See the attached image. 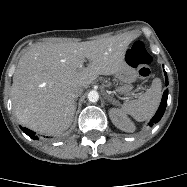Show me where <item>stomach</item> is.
Wrapping results in <instances>:
<instances>
[{"instance_id":"1","label":"stomach","mask_w":187,"mask_h":187,"mask_svg":"<svg viewBox=\"0 0 187 187\" xmlns=\"http://www.w3.org/2000/svg\"><path fill=\"white\" fill-rule=\"evenodd\" d=\"M115 77L121 84L116 88V91L119 94H128L133 88L132 83L136 81L138 73L134 67L125 62V65L116 72Z\"/></svg>"}]
</instances>
